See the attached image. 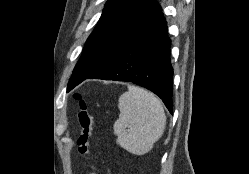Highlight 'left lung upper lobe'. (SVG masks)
Masks as SVG:
<instances>
[{
    "mask_svg": "<svg viewBox=\"0 0 249 174\" xmlns=\"http://www.w3.org/2000/svg\"><path fill=\"white\" fill-rule=\"evenodd\" d=\"M161 11L156 0H108L86 41L67 91L78 78H88L105 66L145 25Z\"/></svg>",
    "mask_w": 249,
    "mask_h": 174,
    "instance_id": "left-lung-upper-lobe-1",
    "label": "left lung upper lobe"
}]
</instances>
